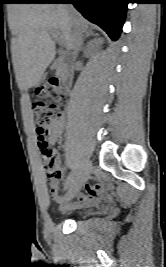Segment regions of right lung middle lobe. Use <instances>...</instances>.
<instances>
[{
	"label": "right lung middle lobe",
	"instance_id": "1",
	"mask_svg": "<svg viewBox=\"0 0 166 267\" xmlns=\"http://www.w3.org/2000/svg\"><path fill=\"white\" fill-rule=\"evenodd\" d=\"M18 2L20 3V2H23V0H18Z\"/></svg>",
	"mask_w": 166,
	"mask_h": 267
}]
</instances>
